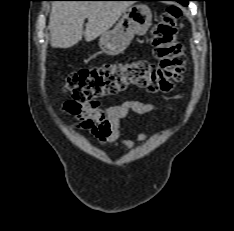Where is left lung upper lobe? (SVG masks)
I'll use <instances>...</instances> for the list:
<instances>
[{"mask_svg":"<svg viewBox=\"0 0 234 231\" xmlns=\"http://www.w3.org/2000/svg\"><path fill=\"white\" fill-rule=\"evenodd\" d=\"M178 2L180 3H183V4H187L188 1H191V0H177Z\"/></svg>","mask_w":234,"mask_h":231,"instance_id":"1","label":"left lung upper lobe"}]
</instances>
